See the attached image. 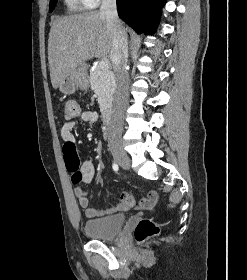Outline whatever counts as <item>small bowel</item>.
Listing matches in <instances>:
<instances>
[{
    "mask_svg": "<svg viewBox=\"0 0 247 280\" xmlns=\"http://www.w3.org/2000/svg\"><path fill=\"white\" fill-rule=\"evenodd\" d=\"M80 118L84 123L94 124L98 121V115L94 111H85L80 114ZM76 127V121L67 119L61 129V136L65 144L75 145L76 140L73 131ZM82 173V183H90L95 175V167L92 162L86 161L80 166ZM75 196L79 205L85 210V215L88 218H98L107 215H113L119 212L127 211L133 206L135 202L133 198L127 192H121L119 194V202L106 209H94L89 207V198L86 190L82 187L81 190L74 189ZM157 201V193L150 191L146 197L142 198L137 204L138 208L146 209L152 207Z\"/></svg>",
    "mask_w": 247,
    "mask_h": 280,
    "instance_id": "1",
    "label": "small bowel"
}]
</instances>
